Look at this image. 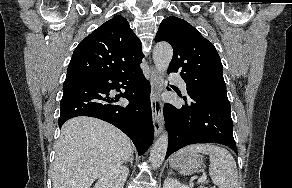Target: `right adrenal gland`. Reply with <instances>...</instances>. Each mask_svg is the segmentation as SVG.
Returning <instances> with one entry per match:
<instances>
[{
	"instance_id": "2a0ac1e0",
	"label": "right adrenal gland",
	"mask_w": 292,
	"mask_h": 188,
	"mask_svg": "<svg viewBox=\"0 0 292 188\" xmlns=\"http://www.w3.org/2000/svg\"><path fill=\"white\" fill-rule=\"evenodd\" d=\"M128 162H130V165H133V154H131V156L125 161V164H127Z\"/></svg>"
}]
</instances>
